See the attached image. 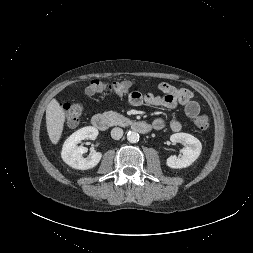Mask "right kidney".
<instances>
[{"instance_id": "right-kidney-1", "label": "right kidney", "mask_w": 253, "mask_h": 253, "mask_svg": "<svg viewBox=\"0 0 253 253\" xmlns=\"http://www.w3.org/2000/svg\"><path fill=\"white\" fill-rule=\"evenodd\" d=\"M98 130L95 127L87 126L74 132L64 142L61 157L70 167L79 170H87L95 167L101 160L102 154L94 152L89 158H83V154L88 151L86 147L77 146L82 140L95 139Z\"/></svg>"}]
</instances>
